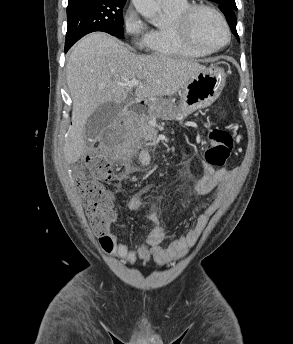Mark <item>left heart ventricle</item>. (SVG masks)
Wrapping results in <instances>:
<instances>
[{"label":"left heart ventricle","mask_w":293,"mask_h":344,"mask_svg":"<svg viewBox=\"0 0 293 344\" xmlns=\"http://www.w3.org/2000/svg\"><path fill=\"white\" fill-rule=\"evenodd\" d=\"M195 41L206 48H215L226 40V32L218 18L208 11H198L191 22Z\"/></svg>","instance_id":"1"}]
</instances>
